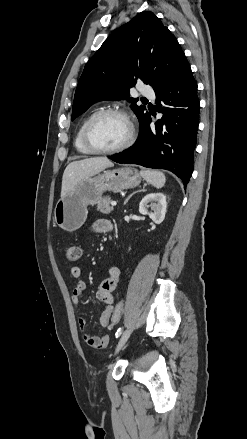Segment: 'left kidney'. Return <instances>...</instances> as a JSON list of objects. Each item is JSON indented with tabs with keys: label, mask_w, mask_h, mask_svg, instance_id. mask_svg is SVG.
<instances>
[{
	"label": "left kidney",
	"mask_w": 247,
	"mask_h": 439,
	"mask_svg": "<svg viewBox=\"0 0 247 439\" xmlns=\"http://www.w3.org/2000/svg\"><path fill=\"white\" fill-rule=\"evenodd\" d=\"M148 207H150L151 212L148 211ZM166 208V195L163 193H149L144 196L139 204V212L148 215L156 224H160L164 220Z\"/></svg>",
	"instance_id": "1"
}]
</instances>
